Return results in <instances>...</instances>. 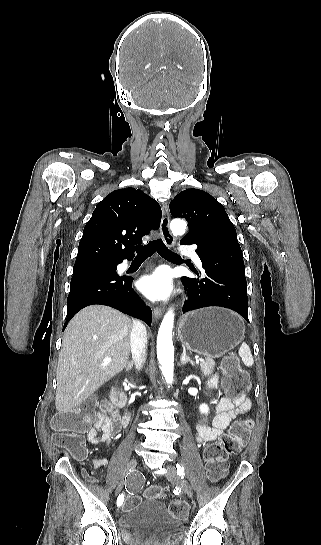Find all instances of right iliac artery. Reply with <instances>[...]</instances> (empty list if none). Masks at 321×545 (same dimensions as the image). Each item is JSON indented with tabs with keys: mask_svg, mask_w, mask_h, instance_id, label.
I'll return each mask as SVG.
<instances>
[{
	"mask_svg": "<svg viewBox=\"0 0 321 545\" xmlns=\"http://www.w3.org/2000/svg\"><path fill=\"white\" fill-rule=\"evenodd\" d=\"M123 499H124V496H123V495H121V496L118 497V499H117V505H118V506L121 505Z\"/></svg>",
	"mask_w": 321,
	"mask_h": 545,
	"instance_id": "right-iliac-artery-1",
	"label": "right iliac artery"
}]
</instances>
